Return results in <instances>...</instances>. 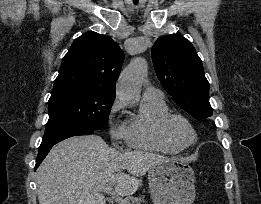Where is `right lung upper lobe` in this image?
Returning a JSON list of instances; mask_svg holds the SVG:
<instances>
[{
	"mask_svg": "<svg viewBox=\"0 0 261 204\" xmlns=\"http://www.w3.org/2000/svg\"><path fill=\"white\" fill-rule=\"evenodd\" d=\"M123 51L110 37L87 32L74 40L54 81L52 95L69 90H93L115 96Z\"/></svg>",
	"mask_w": 261,
	"mask_h": 204,
	"instance_id": "1",
	"label": "right lung upper lobe"
}]
</instances>
